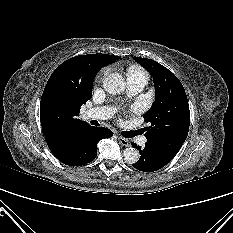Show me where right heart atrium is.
<instances>
[{
	"label": "right heart atrium",
	"mask_w": 233,
	"mask_h": 233,
	"mask_svg": "<svg viewBox=\"0 0 233 233\" xmlns=\"http://www.w3.org/2000/svg\"><path fill=\"white\" fill-rule=\"evenodd\" d=\"M108 72H109V69H108V68L102 69V70L99 72V74H98V76H97V79H98L99 81H101V80L108 74Z\"/></svg>",
	"instance_id": "right-heart-atrium-1"
}]
</instances>
